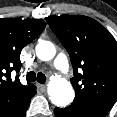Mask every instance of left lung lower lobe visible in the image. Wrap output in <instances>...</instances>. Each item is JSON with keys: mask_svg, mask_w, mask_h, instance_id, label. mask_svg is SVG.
<instances>
[{"mask_svg": "<svg viewBox=\"0 0 117 117\" xmlns=\"http://www.w3.org/2000/svg\"><path fill=\"white\" fill-rule=\"evenodd\" d=\"M54 114L56 117H105L107 111L71 104L64 109L55 108Z\"/></svg>", "mask_w": 117, "mask_h": 117, "instance_id": "0a47b994", "label": "left lung lower lobe"}]
</instances>
